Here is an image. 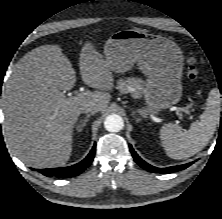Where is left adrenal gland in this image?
Returning a JSON list of instances; mask_svg holds the SVG:
<instances>
[{
    "instance_id": "left-adrenal-gland-1",
    "label": "left adrenal gland",
    "mask_w": 222,
    "mask_h": 219,
    "mask_svg": "<svg viewBox=\"0 0 222 219\" xmlns=\"http://www.w3.org/2000/svg\"><path fill=\"white\" fill-rule=\"evenodd\" d=\"M132 115L134 116V113H132ZM139 120H140L139 118H136V121H137V122H139Z\"/></svg>"
}]
</instances>
